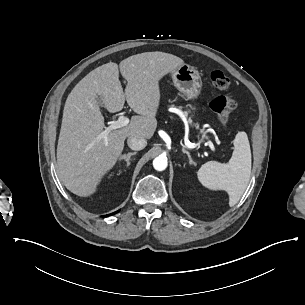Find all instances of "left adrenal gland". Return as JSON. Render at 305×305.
<instances>
[{
    "label": "left adrenal gland",
    "instance_id": "a2214340",
    "mask_svg": "<svg viewBox=\"0 0 305 305\" xmlns=\"http://www.w3.org/2000/svg\"><path fill=\"white\" fill-rule=\"evenodd\" d=\"M184 153H186V154H187L188 159H189V161H190V164L193 166V165H194V162H193V160H192V158H191L190 153H189V152H187V151H184Z\"/></svg>",
    "mask_w": 305,
    "mask_h": 305
}]
</instances>
